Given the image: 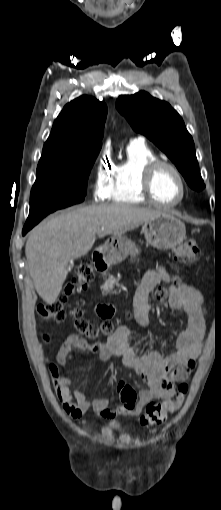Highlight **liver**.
<instances>
[{
	"label": "liver",
	"instance_id": "obj_1",
	"mask_svg": "<svg viewBox=\"0 0 221 510\" xmlns=\"http://www.w3.org/2000/svg\"><path fill=\"white\" fill-rule=\"evenodd\" d=\"M161 213L112 203L81 207L41 222L29 233L25 246L27 270L38 295L49 305L55 303L69 263L91 250L95 235L121 236Z\"/></svg>",
	"mask_w": 221,
	"mask_h": 510
}]
</instances>
